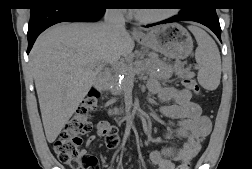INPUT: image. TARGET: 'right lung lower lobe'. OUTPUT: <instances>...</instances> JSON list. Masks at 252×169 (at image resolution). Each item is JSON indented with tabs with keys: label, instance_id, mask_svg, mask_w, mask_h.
I'll return each mask as SVG.
<instances>
[{
	"label": "right lung lower lobe",
	"instance_id": "obj_1",
	"mask_svg": "<svg viewBox=\"0 0 252 169\" xmlns=\"http://www.w3.org/2000/svg\"><path fill=\"white\" fill-rule=\"evenodd\" d=\"M106 3L88 0H42L32 5L28 25V51L48 27L60 22H95L105 13Z\"/></svg>",
	"mask_w": 252,
	"mask_h": 169
}]
</instances>
